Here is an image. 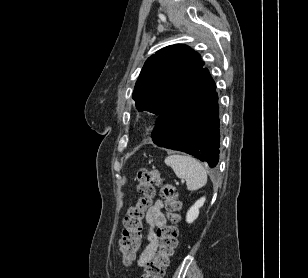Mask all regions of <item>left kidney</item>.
<instances>
[{
  "label": "left kidney",
  "mask_w": 308,
  "mask_h": 278,
  "mask_svg": "<svg viewBox=\"0 0 308 278\" xmlns=\"http://www.w3.org/2000/svg\"><path fill=\"white\" fill-rule=\"evenodd\" d=\"M205 200H206L205 197L200 198L188 210L187 215H186V222L187 223H193L197 219V217L199 216V209L204 205Z\"/></svg>",
  "instance_id": "5707ae66"
}]
</instances>
